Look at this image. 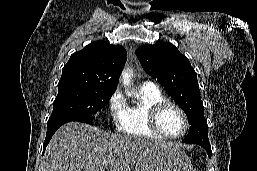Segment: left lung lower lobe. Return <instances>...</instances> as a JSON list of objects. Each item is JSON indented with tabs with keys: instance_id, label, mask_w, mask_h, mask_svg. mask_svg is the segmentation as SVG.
<instances>
[{
	"instance_id": "obj_1",
	"label": "left lung lower lobe",
	"mask_w": 257,
	"mask_h": 171,
	"mask_svg": "<svg viewBox=\"0 0 257 171\" xmlns=\"http://www.w3.org/2000/svg\"><path fill=\"white\" fill-rule=\"evenodd\" d=\"M194 144H198V145H200L201 147H203V148L206 150V152H207L209 158L211 157L212 151H211V146H210V143H209V142H197V143H194Z\"/></svg>"
}]
</instances>
